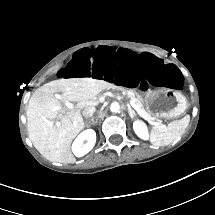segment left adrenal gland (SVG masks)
<instances>
[{
  "mask_svg": "<svg viewBox=\"0 0 215 215\" xmlns=\"http://www.w3.org/2000/svg\"><path fill=\"white\" fill-rule=\"evenodd\" d=\"M127 111L131 118H134L137 115L136 112L133 109H130L129 107H128Z\"/></svg>",
  "mask_w": 215,
  "mask_h": 215,
  "instance_id": "left-adrenal-gland-1",
  "label": "left adrenal gland"
}]
</instances>
